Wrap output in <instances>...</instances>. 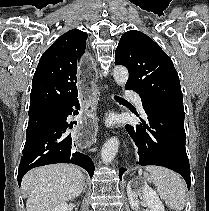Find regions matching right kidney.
I'll use <instances>...</instances> for the list:
<instances>
[{
    "mask_svg": "<svg viewBox=\"0 0 209 211\" xmlns=\"http://www.w3.org/2000/svg\"><path fill=\"white\" fill-rule=\"evenodd\" d=\"M52 211H69V209L66 203H61L60 205L55 207Z\"/></svg>",
    "mask_w": 209,
    "mask_h": 211,
    "instance_id": "ca27d5eb",
    "label": "right kidney"
}]
</instances>
